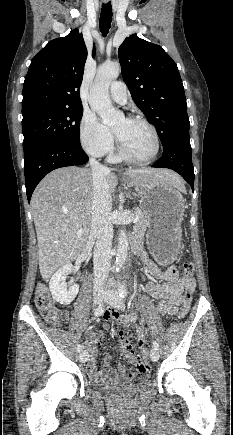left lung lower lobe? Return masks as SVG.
<instances>
[{"label": "left lung lower lobe", "instance_id": "1", "mask_svg": "<svg viewBox=\"0 0 233 435\" xmlns=\"http://www.w3.org/2000/svg\"><path fill=\"white\" fill-rule=\"evenodd\" d=\"M152 167L169 168L176 171L194 191V168L189 137L178 139L166 146L161 159Z\"/></svg>", "mask_w": 233, "mask_h": 435}]
</instances>
